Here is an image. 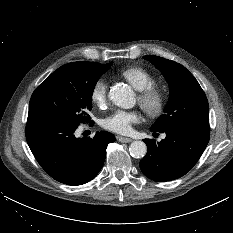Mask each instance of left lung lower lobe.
Returning a JSON list of instances; mask_svg holds the SVG:
<instances>
[{
	"instance_id": "obj_1",
	"label": "left lung lower lobe",
	"mask_w": 233,
	"mask_h": 233,
	"mask_svg": "<svg viewBox=\"0 0 233 233\" xmlns=\"http://www.w3.org/2000/svg\"><path fill=\"white\" fill-rule=\"evenodd\" d=\"M162 132L166 138L158 143L144 139L148 152L140 161L143 174L157 182L174 180L189 172L205 150L210 135L209 122L205 121L183 122Z\"/></svg>"
}]
</instances>
